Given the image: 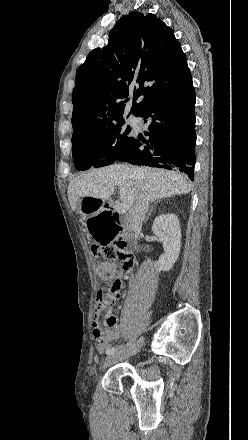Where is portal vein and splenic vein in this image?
<instances>
[{"instance_id": "1", "label": "portal vein and splenic vein", "mask_w": 248, "mask_h": 440, "mask_svg": "<svg viewBox=\"0 0 248 440\" xmlns=\"http://www.w3.org/2000/svg\"><path fill=\"white\" fill-rule=\"evenodd\" d=\"M116 210H118V211L124 213V212H126V207H125L124 204H122V203H118V204L116 205Z\"/></svg>"}]
</instances>
